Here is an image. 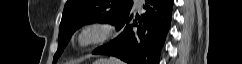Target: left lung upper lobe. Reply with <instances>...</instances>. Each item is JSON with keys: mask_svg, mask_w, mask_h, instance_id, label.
<instances>
[{"mask_svg": "<svg viewBox=\"0 0 242 64\" xmlns=\"http://www.w3.org/2000/svg\"><path fill=\"white\" fill-rule=\"evenodd\" d=\"M132 7V0H67L59 27L58 50L53 64L63 52L71 35L93 22L115 25Z\"/></svg>", "mask_w": 242, "mask_h": 64, "instance_id": "5c2ea615", "label": "left lung upper lobe"}]
</instances>
